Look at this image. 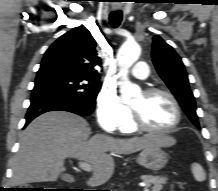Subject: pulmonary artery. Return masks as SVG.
Instances as JSON below:
<instances>
[{
    "label": "pulmonary artery",
    "instance_id": "pulmonary-artery-1",
    "mask_svg": "<svg viewBox=\"0 0 218 191\" xmlns=\"http://www.w3.org/2000/svg\"><path fill=\"white\" fill-rule=\"evenodd\" d=\"M131 74L137 79H146L149 75V67L147 63L143 61L137 62L134 69L131 71Z\"/></svg>",
    "mask_w": 218,
    "mask_h": 191
}]
</instances>
